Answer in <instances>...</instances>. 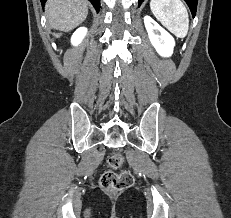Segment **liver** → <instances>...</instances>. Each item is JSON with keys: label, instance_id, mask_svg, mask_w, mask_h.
Wrapping results in <instances>:
<instances>
[{"label": "liver", "instance_id": "obj_1", "mask_svg": "<svg viewBox=\"0 0 231 218\" xmlns=\"http://www.w3.org/2000/svg\"><path fill=\"white\" fill-rule=\"evenodd\" d=\"M46 14L53 29L68 32L87 18L88 3L86 0H49Z\"/></svg>", "mask_w": 231, "mask_h": 218}]
</instances>
